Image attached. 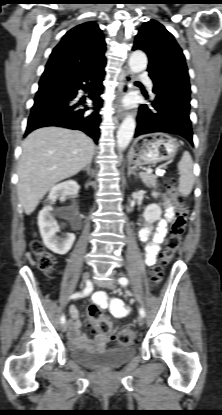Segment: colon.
<instances>
[{
  "label": "colon",
  "instance_id": "1",
  "mask_svg": "<svg viewBox=\"0 0 222 415\" xmlns=\"http://www.w3.org/2000/svg\"><path fill=\"white\" fill-rule=\"evenodd\" d=\"M168 191L174 199L175 217L171 223L162 254L151 269L150 281L153 285L161 281L164 270L170 264L180 246L189 212L185 198L179 194L174 185L168 184ZM31 250L37 255V265L40 269L49 271L53 267V258L43 252L42 245L39 242L33 241ZM87 317L95 331L111 335L112 348L135 343L139 340L140 336L136 330L114 331L109 323L103 319L102 312L96 305H91L88 308Z\"/></svg>",
  "mask_w": 222,
  "mask_h": 415
}]
</instances>
